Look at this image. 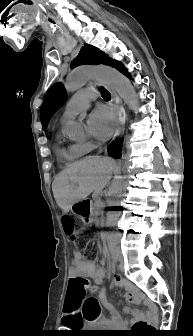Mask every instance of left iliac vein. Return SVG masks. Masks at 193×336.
I'll use <instances>...</instances> for the list:
<instances>
[{"mask_svg": "<svg viewBox=\"0 0 193 336\" xmlns=\"http://www.w3.org/2000/svg\"><path fill=\"white\" fill-rule=\"evenodd\" d=\"M117 259H118V261H119V268H120V270L121 271H123L124 270V258H123V256L122 255H119L118 257H117Z\"/></svg>", "mask_w": 193, "mask_h": 336, "instance_id": "1", "label": "left iliac vein"}]
</instances>
